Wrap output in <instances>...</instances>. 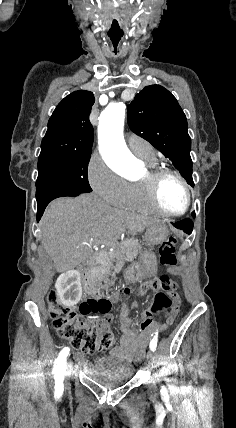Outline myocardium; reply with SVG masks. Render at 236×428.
I'll list each match as a JSON object with an SVG mask.
<instances>
[{
    "instance_id": "obj_1",
    "label": "myocardium",
    "mask_w": 236,
    "mask_h": 428,
    "mask_svg": "<svg viewBox=\"0 0 236 428\" xmlns=\"http://www.w3.org/2000/svg\"><path fill=\"white\" fill-rule=\"evenodd\" d=\"M167 178H173V179L177 180L178 182L181 183V185L183 186V188L185 190L186 204L182 210H178V211L170 210L164 205V203L162 201L161 194H160V188H161V184L163 183V181L166 180ZM141 180L144 184L146 195H147L150 203L154 206V208L158 212H160L164 216H180V215L185 214L189 210L191 203H192L191 186H190L189 182L186 180V178L183 177L178 172L162 167V168H158L154 171L148 172L144 176V178H142Z\"/></svg>"
}]
</instances>
